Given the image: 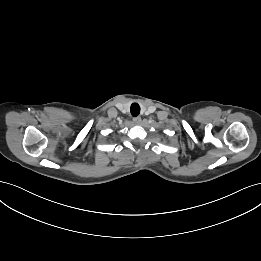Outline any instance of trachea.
Wrapping results in <instances>:
<instances>
[{"label": "trachea", "instance_id": "1", "mask_svg": "<svg viewBox=\"0 0 261 261\" xmlns=\"http://www.w3.org/2000/svg\"><path fill=\"white\" fill-rule=\"evenodd\" d=\"M130 111H131V115H132L133 117L138 116L139 113H140V106H139V104H138V103H133V104L131 105Z\"/></svg>", "mask_w": 261, "mask_h": 261}]
</instances>
